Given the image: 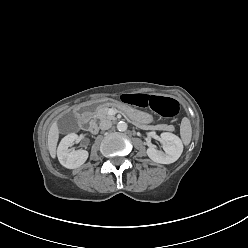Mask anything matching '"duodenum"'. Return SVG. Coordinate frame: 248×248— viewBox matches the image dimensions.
<instances>
[{
	"instance_id": "obj_1",
	"label": "duodenum",
	"mask_w": 248,
	"mask_h": 248,
	"mask_svg": "<svg viewBox=\"0 0 248 248\" xmlns=\"http://www.w3.org/2000/svg\"><path fill=\"white\" fill-rule=\"evenodd\" d=\"M93 104V103H91ZM91 104L84 105L81 107L77 112V117L79 119V122L86 127V130L90 133H95L98 131V126L96 122H89V119L92 115V111L89 109V106Z\"/></svg>"
}]
</instances>
